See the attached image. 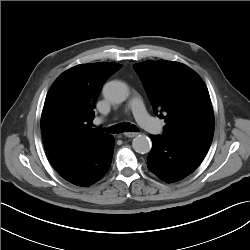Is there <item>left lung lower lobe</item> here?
<instances>
[{
  "instance_id": "1",
  "label": "left lung lower lobe",
  "mask_w": 250,
  "mask_h": 250,
  "mask_svg": "<svg viewBox=\"0 0 250 250\" xmlns=\"http://www.w3.org/2000/svg\"><path fill=\"white\" fill-rule=\"evenodd\" d=\"M153 147L147 166L160 179L169 183L191 174L205 158L211 143L170 139L164 135H150Z\"/></svg>"
}]
</instances>
